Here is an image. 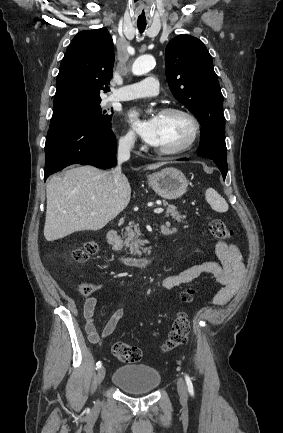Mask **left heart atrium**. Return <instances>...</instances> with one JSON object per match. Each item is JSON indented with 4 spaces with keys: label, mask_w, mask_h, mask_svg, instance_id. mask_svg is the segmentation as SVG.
<instances>
[{
    "label": "left heart atrium",
    "mask_w": 283,
    "mask_h": 433,
    "mask_svg": "<svg viewBox=\"0 0 283 433\" xmlns=\"http://www.w3.org/2000/svg\"><path fill=\"white\" fill-rule=\"evenodd\" d=\"M126 121L150 149L158 150L161 143L159 115L143 119L138 109H132L127 112Z\"/></svg>",
    "instance_id": "obj_1"
}]
</instances>
